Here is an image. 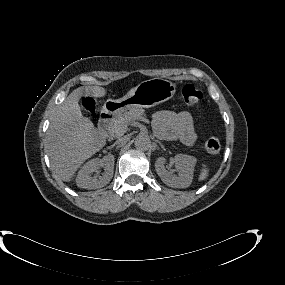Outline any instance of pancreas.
Wrapping results in <instances>:
<instances>
[{"label":"pancreas","mask_w":285,"mask_h":285,"mask_svg":"<svg viewBox=\"0 0 285 285\" xmlns=\"http://www.w3.org/2000/svg\"><path fill=\"white\" fill-rule=\"evenodd\" d=\"M145 115V110L142 108H134L128 112L118 115L110 128V133L114 137L122 136L128 127L131 120H136Z\"/></svg>","instance_id":"cf45deb5"}]
</instances>
